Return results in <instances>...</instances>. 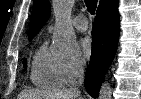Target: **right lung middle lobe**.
Segmentation results:
<instances>
[{
  "mask_svg": "<svg viewBox=\"0 0 141 99\" xmlns=\"http://www.w3.org/2000/svg\"><path fill=\"white\" fill-rule=\"evenodd\" d=\"M26 65H27V61L24 60L23 66L26 67Z\"/></svg>",
  "mask_w": 141,
  "mask_h": 99,
  "instance_id": "right-lung-middle-lobe-1",
  "label": "right lung middle lobe"
}]
</instances>
